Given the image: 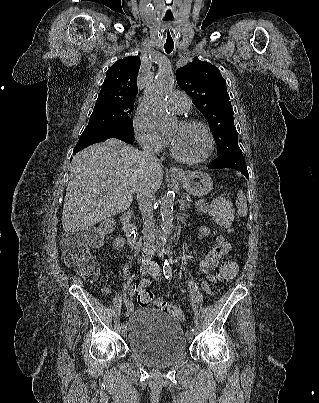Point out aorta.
I'll list each match as a JSON object with an SVG mask.
<instances>
[{"label":"aorta","instance_id":"obj_1","mask_svg":"<svg viewBox=\"0 0 319 403\" xmlns=\"http://www.w3.org/2000/svg\"><path fill=\"white\" fill-rule=\"evenodd\" d=\"M174 84V76L170 70H161L146 86L144 106L150 120L157 127H164L170 117L166 101L168 93ZM174 192L169 191L160 201L161 228L170 231L173 227Z\"/></svg>","mask_w":319,"mask_h":403}]
</instances>
